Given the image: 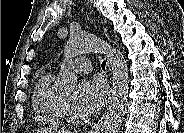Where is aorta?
Segmentation results:
<instances>
[{
  "label": "aorta",
  "mask_w": 184,
  "mask_h": 133,
  "mask_svg": "<svg viewBox=\"0 0 184 133\" xmlns=\"http://www.w3.org/2000/svg\"><path fill=\"white\" fill-rule=\"evenodd\" d=\"M90 52L105 54L113 75L112 98L100 133H118L126 112L129 90L128 66L119 50L95 36L71 35L65 49L64 65L59 73L60 86L64 90H72L75 87L77 77L67 65L72 58Z\"/></svg>",
  "instance_id": "1"
}]
</instances>
